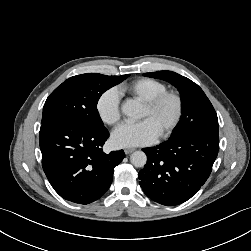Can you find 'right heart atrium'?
<instances>
[{
    "label": "right heart atrium",
    "mask_w": 251,
    "mask_h": 251,
    "mask_svg": "<svg viewBox=\"0 0 251 251\" xmlns=\"http://www.w3.org/2000/svg\"><path fill=\"white\" fill-rule=\"evenodd\" d=\"M96 111L105 124L116 125L121 117L119 91L109 88L101 93L96 102Z\"/></svg>",
    "instance_id": "right-heart-atrium-1"
}]
</instances>
